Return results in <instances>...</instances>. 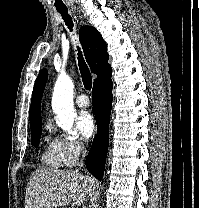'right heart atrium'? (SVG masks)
Returning <instances> with one entry per match:
<instances>
[{
  "mask_svg": "<svg viewBox=\"0 0 199 208\" xmlns=\"http://www.w3.org/2000/svg\"><path fill=\"white\" fill-rule=\"evenodd\" d=\"M57 149L65 166H73L86 150L82 141L64 135L57 140Z\"/></svg>",
  "mask_w": 199,
  "mask_h": 208,
  "instance_id": "obj_1",
  "label": "right heart atrium"
}]
</instances>
